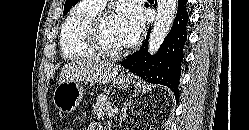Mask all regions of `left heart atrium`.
Masks as SVG:
<instances>
[{"label":"left heart atrium","mask_w":249,"mask_h":130,"mask_svg":"<svg viewBox=\"0 0 249 130\" xmlns=\"http://www.w3.org/2000/svg\"><path fill=\"white\" fill-rule=\"evenodd\" d=\"M115 22L125 46L134 44L144 29L143 12L131 1H125L119 5Z\"/></svg>","instance_id":"39dd6f15"}]
</instances>
